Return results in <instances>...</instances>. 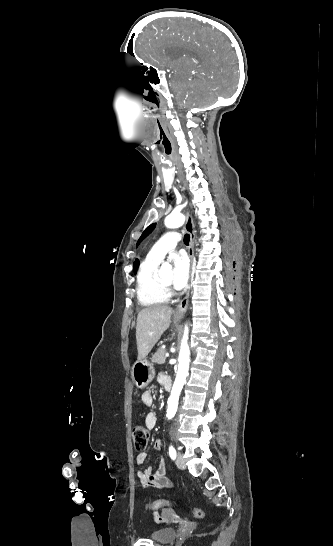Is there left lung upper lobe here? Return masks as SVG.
Returning <instances> with one entry per match:
<instances>
[{"label": "left lung upper lobe", "instance_id": "obj_1", "mask_svg": "<svg viewBox=\"0 0 333 546\" xmlns=\"http://www.w3.org/2000/svg\"><path fill=\"white\" fill-rule=\"evenodd\" d=\"M155 226L156 224L154 223L145 229V231L142 233L141 237L139 238L137 245L154 230Z\"/></svg>", "mask_w": 333, "mask_h": 546}]
</instances>
